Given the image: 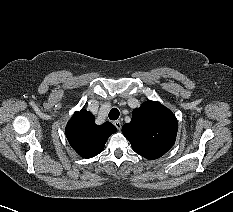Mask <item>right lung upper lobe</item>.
<instances>
[{"mask_svg": "<svg viewBox=\"0 0 233 212\" xmlns=\"http://www.w3.org/2000/svg\"><path fill=\"white\" fill-rule=\"evenodd\" d=\"M117 131L110 122L95 124L94 116L85 109L75 112L66 126L70 145L83 158H91L103 151L108 137Z\"/></svg>", "mask_w": 233, "mask_h": 212, "instance_id": "right-lung-upper-lobe-1", "label": "right lung upper lobe"}]
</instances>
